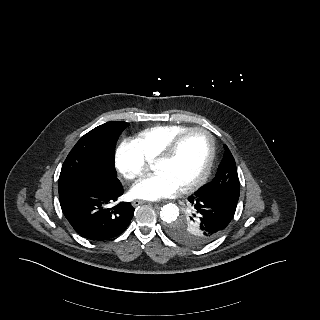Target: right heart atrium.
Masks as SVG:
<instances>
[{
  "label": "right heart atrium",
  "instance_id": "right-heart-atrium-1",
  "mask_svg": "<svg viewBox=\"0 0 320 320\" xmlns=\"http://www.w3.org/2000/svg\"><path fill=\"white\" fill-rule=\"evenodd\" d=\"M115 163L118 171L128 180L138 178L145 170V159L134 140L125 139L117 148Z\"/></svg>",
  "mask_w": 320,
  "mask_h": 320
}]
</instances>
